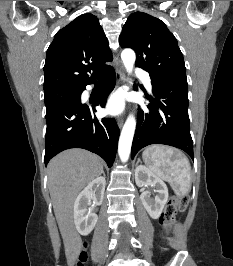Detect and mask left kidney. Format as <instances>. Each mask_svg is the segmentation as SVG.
<instances>
[{
	"mask_svg": "<svg viewBox=\"0 0 233 266\" xmlns=\"http://www.w3.org/2000/svg\"><path fill=\"white\" fill-rule=\"evenodd\" d=\"M135 181L138 187L151 186L155 188L157 195L151 198L149 191L140 195L141 202L151 218L157 219L168 200V188L165 182L153 174L146 166L140 165L135 170Z\"/></svg>",
	"mask_w": 233,
	"mask_h": 266,
	"instance_id": "5707ae66",
	"label": "left kidney"
}]
</instances>
